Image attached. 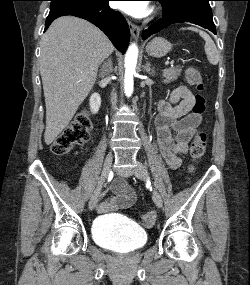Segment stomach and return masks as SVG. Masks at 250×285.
Masks as SVG:
<instances>
[{
  "instance_id": "1",
  "label": "stomach",
  "mask_w": 250,
  "mask_h": 285,
  "mask_svg": "<svg viewBox=\"0 0 250 285\" xmlns=\"http://www.w3.org/2000/svg\"><path fill=\"white\" fill-rule=\"evenodd\" d=\"M172 49V44L162 37H156L146 46V52L152 57H163Z\"/></svg>"
}]
</instances>
